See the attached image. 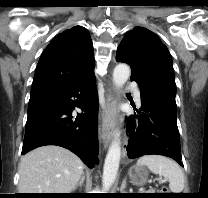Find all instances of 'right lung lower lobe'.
<instances>
[{"instance_id":"98d812e1","label":"right lung lower lobe","mask_w":208,"mask_h":198,"mask_svg":"<svg viewBox=\"0 0 208 198\" xmlns=\"http://www.w3.org/2000/svg\"><path fill=\"white\" fill-rule=\"evenodd\" d=\"M75 107L83 113L73 118ZM45 145L67 148L93 168L98 153V100L94 73L65 91L29 101L22 154Z\"/></svg>"}]
</instances>
